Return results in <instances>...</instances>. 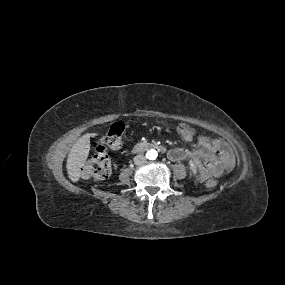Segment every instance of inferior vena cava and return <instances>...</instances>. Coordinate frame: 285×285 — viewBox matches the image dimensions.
<instances>
[{
	"label": "inferior vena cava",
	"mask_w": 285,
	"mask_h": 285,
	"mask_svg": "<svg viewBox=\"0 0 285 285\" xmlns=\"http://www.w3.org/2000/svg\"><path fill=\"white\" fill-rule=\"evenodd\" d=\"M146 162V157L143 154L136 155L134 157V163L136 165H142Z\"/></svg>",
	"instance_id": "inferior-vena-cava-1"
}]
</instances>
